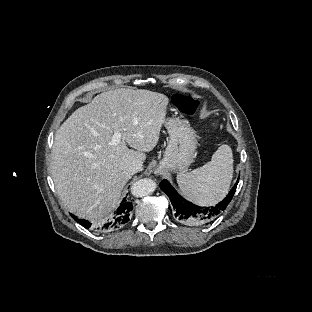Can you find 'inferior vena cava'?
Instances as JSON below:
<instances>
[{
  "instance_id": "1",
  "label": "inferior vena cava",
  "mask_w": 312,
  "mask_h": 312,
  "mask_svg": "<svg viewBox=\"0 0 312 312\" xmlns=\"http://www.w3.org/2000/svg\"><path fill=\"white\" fill-rule=\"evenodd\" d=\"M129 172L134 175L137 172L142 171V163L140 161H135L130 164Z\"/></svg>"
}]
</instances>
